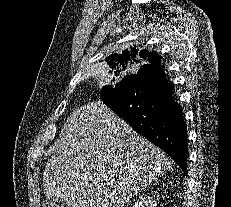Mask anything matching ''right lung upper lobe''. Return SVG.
Here are the masks:
<instances>
[{"instance_id": "obj_1", "label": "right lung upper lobe", "mask_w": 231, "mask_h": 207, "mask_svg": "<svg viewBox=\"0 0 231 207\" xmlns=\"http://www.w3.org/2000/svg\"><path fill=\"white\" fill-rule=\"evenodd\" d=\"M160 59L161 56H159L157 53H149L147 50H143L138 53L136 49H131V51L125 50L121 54H112L105 60L107 61V64L110 68V72L119 75L120 73L124 72V70H128L134 63L149 62L150 64L147 65H160Z\"/></svg>"}]
</instances>
